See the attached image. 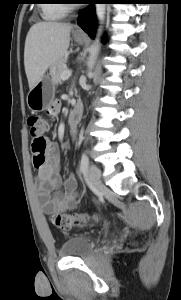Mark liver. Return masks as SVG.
<instances>
[{"label": "liver", "instance_id": "1", "mask_svg": "<svg viewBox=\"0 0 181 300\" xmlns=\"http://www.w3.org/2000/svg\"><path fill=\"white\" fill-rule=\"evenodd\" d=\"M71 29L70 24L57 22H38L30 28L24 48V66L30 90L48 68L65 55Z\"/></svg>", "mask_w": 181, "mask_h": 300}]
</instances>
